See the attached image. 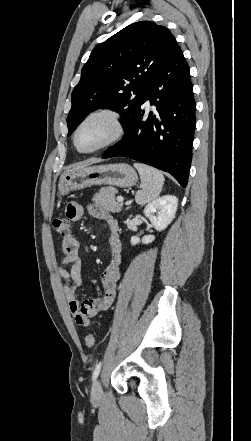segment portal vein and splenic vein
<instances>
[{
    "label": "portal vein and splenic vein",
    "mask_w": 251,
    "mask_h": 441,
    "mask_svg": "<svg viewBox=\"0 0 251 441\" xmlns=\"http://www.w3.org/2000/svg\"><path fill=\"white\" fill-rule=\"evenodd\" d=\"M117 201L120 202V203H122V202H123V197H122V196H118V197H117Z\"/></svg>",
    "instance_id": "18ae733b"
}]
</instances>
